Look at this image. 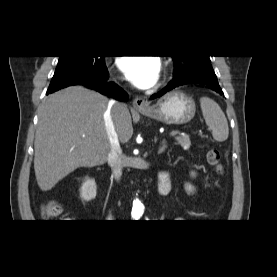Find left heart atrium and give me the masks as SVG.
I'll list each match as a JSON object with an SVG mask.
<instances>
[{
	"mask_svg": "<svg viewBox=\"0 0 277 277\" xmlns=\"http://www.w3.org/2000/svg\"><path fill=\"white\" fill-rule=\"evenodd\" d=\"M118 67L133 85L149 88L157 81L161 65L155 57L137 56L119 58Z\"/></svg>",
	"mask_w": 277,
	"mask_h": 277,
	"instance_id": "left-heart-atrium-1",
	"label": "left heart atrium"
}]
</instances>
